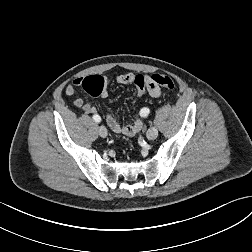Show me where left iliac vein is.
I'll list each match as a JSON object with an SVG mask.
<instances>
[{
    "label": "left iliac vein",
    "mask_w": 252,
    "mask_h": 252,
    "mask_svg": "<svg viewBox=\"0 0 252 252\" xmlns=\"http://www.w3.org/2000/svg\"><path fill=\"white\" fill-rule=\"evenodd\" d=\"M157 136L158 130L155 127H151L146 133V137L148 140H154Z\"/></svg>",
    "instance_id": "left-iliac-vein-1"
}]
</instances>
